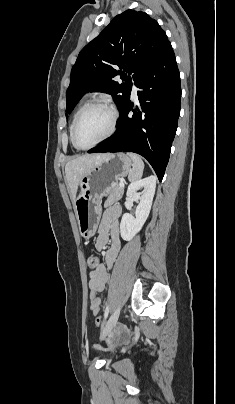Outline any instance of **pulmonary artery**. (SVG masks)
<instances>
[{"mask_svg":"<svg viewBox=\"0 0 235 404\" xmlns=\"http://www.w3.org/2000/svg\"><path fill=\"white\" fill-rule=\"evenodd\" d=\"M137 93V87L135 86V84L132 85V95L135 96Z\"/></svg>","mask_w":235,"mask_h":404,"instance_id":"1","label":"pulmonary artery"}]
</instances>
